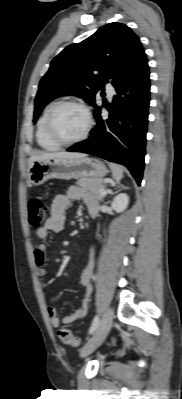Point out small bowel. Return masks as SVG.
<instances>
[{
	"label": "small bowel",
	"instance_id": "obj_1",
	"mask_svg": "<svg viewBox=\"0 0 182 399\" xmlns=\"http://www.w3.org/2000/svg\"><path fill=\"white\" fill-rule=\"evenodd\" d=\"M72 200L82 201L88 208V210L94 209L98 211L99 201L91 193L76 187H69L68 190L63 194H58L54 197L51 208L50 216L46 220L43 227L36 230L35 235L40 240H46L50 232H61L65 227V212ZM34 260L38 268V274L41 278L47 276L46 262H47V245L45 243H39L34 248ZM95 264V248L92 247L90 251V260L86 268L83 270L79 277V282L85 290V297L80 303L77 310L63 318L60 317L55 307L49 306L47 308V314L50 320V324L57 328L61 324H70L75 321L82 319L88 309L89 297L92 292V274Z\"/></svg>",
	"mask_w": 182,
	"mask_h": 399
}]
</instances>
